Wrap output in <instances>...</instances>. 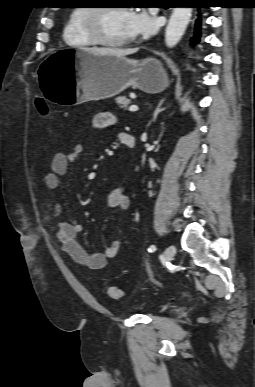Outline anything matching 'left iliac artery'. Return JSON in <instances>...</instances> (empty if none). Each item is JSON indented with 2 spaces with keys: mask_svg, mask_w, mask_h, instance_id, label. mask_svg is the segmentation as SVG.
<instances>
[{
  "mask_svg": "<svg viewBox=\"0 0 255 387\" xmlns=\"http://www.w3.org/2000/svg\"><path fill=\"white\" fill-rule=\"evenodd\" d=\"M156 250V246L155 245H151L149 248H148V251L150 253L154 252Z\"/></svg>",
  "mask_w": 255,
  "mask_h": 387,
  "instance_id": "44dca946",
  "label": "left iliac artery"
}]
</instances>
